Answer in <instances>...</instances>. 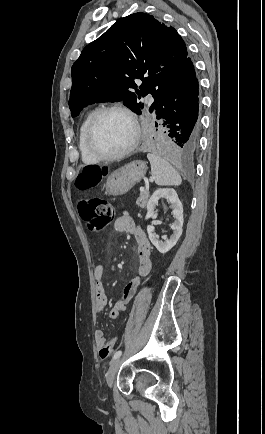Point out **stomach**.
<instances>
[{"instance_id": "0dacf381", "label": "stomach", "mask_w": 265, "mask_h": 434, "mask_svg": "<svg viewBox=\"0 0 265 434\" xmlns=\"http://www.w3.org/2000/svg\"><path fill=\"white\" fill-rule=\"evenodd\" d=\"M147 172V166L142 160H134L108 176L105 190L110 196H122L129 192L137 182L142 180Z\"/></svg>"}]
</instances>
